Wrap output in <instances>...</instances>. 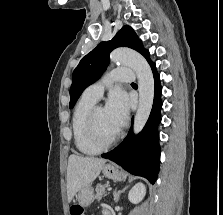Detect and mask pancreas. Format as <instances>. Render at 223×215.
I'll return each mask as SVG.
<instances>
[{"mask_svg": "<svg viewBox=\"0 0 223 215\" xmlns=\"http://www.w3.org/2000/svg\"><path fill=\"white\" fill-rule=\"evenodd\" d=\"M107 183H97L95 189V199H101L103 195H106L105 187H107Z\"/></svg>", "mask_w": 223, "mask_h": 215, "instance_id": "pancreas-1", "label": "pancreas"}]
</instances>
